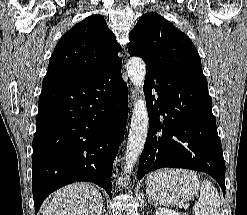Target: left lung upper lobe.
I'll use <instances>...</instances> for the list:
<instances>
[{
  "mask_svg": "<svg viewBox=\"0 0 247 215\" xmlns=\"http://www.w3.org/2000/svg\"><path fill=\"white\" fill-rule=\"evenodd\" d=\"M129 39V54L142 57L146 66L207 84L190 38L157 13L141 16Z\"/></svg>",
  "mask_w": 247,
  "mask_h": 215,
  "instance_id": "obj_1",
  "label": "left lung upper lobe"
}]
</instances>
